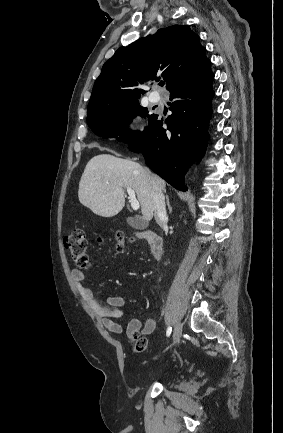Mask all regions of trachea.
I'll use <instances>...</instances> for the list:
<instances>
[{
  "label": "trachea",
  "mask_w": 283,
  "mask_h": 433,
  "mask_svg": "<svg viewBox=\"0 0 283 433\" xmlns=\"http://www.w3.org/2000/svg\"><path fill=\"white\" fill-rule=\"evenodd\" d=\"M164 84H165V82H160V83H159V85H160L161 87H164Z\"/></svg>",
  "instance_id": "obj_1"
}]
</instances>
